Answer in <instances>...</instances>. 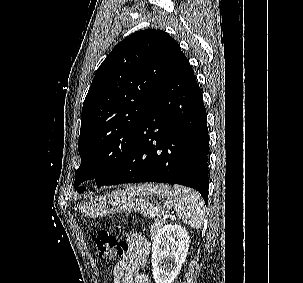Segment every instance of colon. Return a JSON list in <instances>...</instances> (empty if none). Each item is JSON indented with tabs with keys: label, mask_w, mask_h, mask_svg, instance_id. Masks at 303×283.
Returning a JSON list of instances; mask_svg holds the SVG:
<instances>
[{
	"label": "colon",
	"mask_w": 303,
	"mask_h": 283,
	"mask_svg": "<svg viewBox=\"0 0 303 283\" xmlns=\"http://www.w3.org/2000/svg\"><path fill=\"white\" fill-rule=\"evenodd\" d=\"M93 242L99 257L106 262L115 259L125 248L121 238L107 230H97L93 234Z\"/></svg>",
	"instance_id": "5ec220e1"
}]
</instances>
